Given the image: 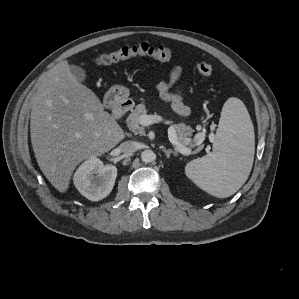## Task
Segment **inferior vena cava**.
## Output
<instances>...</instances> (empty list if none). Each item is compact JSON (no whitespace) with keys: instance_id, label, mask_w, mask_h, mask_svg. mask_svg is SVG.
<instances>
[{"instance_id":"602c4592","label":"inferior vena cava","mask_w":299,"mask_h":299,"mask_svg":"<svg viewBox=\"0 0 299 299\" xmlns=\"http://www.w3.org/2000/svg\"><path fill=\"white\" fill-rule=\"evenodd\" d=\"M119 149L123 153H132L138 149V144L134 141H125L120 144Z\"/></svg>"}]
</instances>
